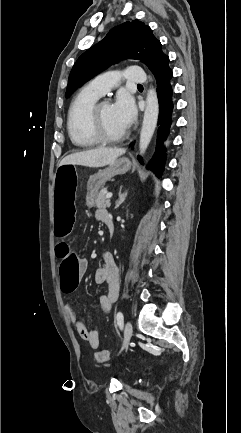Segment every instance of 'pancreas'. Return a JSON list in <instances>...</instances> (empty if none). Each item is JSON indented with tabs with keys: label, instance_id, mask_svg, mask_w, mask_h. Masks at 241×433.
Here are the masks:
<instances>
[{
	"label": "pancreas",
	"instance_id": "pancreas-1",
	"mask_svg": "<svg viewBox=\"0 0 241 433\" xmlns=\"http://www.w3.org/2000/svg\"><path fill=\"white\" fill-rule=\"evenodd\" d=\"M107 195V190L106 189H102L99 191V193L97 194L94 204V207L97 208H106V207H110L111 203L110 200H108L106 198Z\"/></svg>",
	"mask_w": 241,
	"mask_h": 433
}]
</instances>
